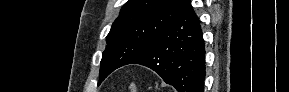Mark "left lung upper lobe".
I'll use <instances>...</instances> for the list:
<instances>
[{"mask_svg":"<svg viewBox=\"0 0 289 92\" xmlns=\"http://www.w3.org/2000/svg\"><path fill=\"white\" fill-rule=\"evenodd\" d=\"M189 5L190 0H129L106 37L99 83L147 49Z\"/></svg>","mask_w":289,"mask_h":92,"instance_id":"5c2ea615","label":"left lung upper lobe"}]
</instances>
